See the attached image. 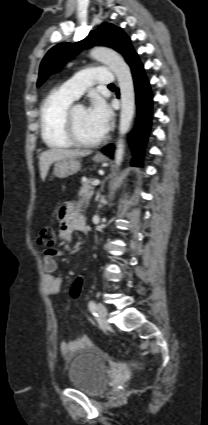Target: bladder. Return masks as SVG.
Instances as JSON below:
<instances>
[{"instance_id":"obj_1","label":"bladder","mask_w":208,"mask_h":425,"mask_svg":"<svg viewBox=\"0 0 208 425\" xmlns=\"http://www.w3.org/2000/svg\"><path fill=\"white\" fill-rule=\"evenodd\" d=\"M108 358L90 349L82 351L71 362L68 369V383L87 395H100L108 384Z\"/></svg>"}]
</instances>
